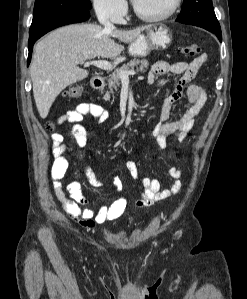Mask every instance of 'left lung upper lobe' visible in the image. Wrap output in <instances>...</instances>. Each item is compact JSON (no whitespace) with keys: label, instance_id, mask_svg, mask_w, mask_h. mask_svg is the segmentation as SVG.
<instances>
[{"label":"left lung upper lobe","instance_id":"5c2ea615","mask_svg":"<svg viewBox=\"0 0 247 299\" xmlns=\"http://www.w3.org/2000/svg\"><path fill=\"white\" fill-rule=\"evenodd\" d=\"M200 19L211 25L220 26L216 18L212 0H184L183 9L176 21Z\"/></svg>","mask_w":247,"mask_h":299}]
</instances>
